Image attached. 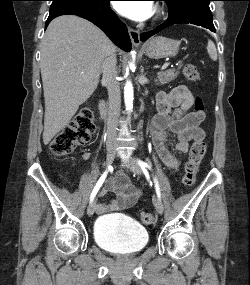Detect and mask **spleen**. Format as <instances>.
Listing matches in <instances>:
<instances>
[{
  "mask_svg": "<svg viewBox=\"0 0 250 285\" xmlns=\"http://www.w3.org/2000/svg\"><path fill=\"white\" fill-rule=\"evenodd\" d=\"M207 52L209 54V57L213 61L217 60V58H218L217 50H216L215 44L211 40H208Z\"/></svg>",
  "mask_w": 250,
  "mask_h": 285,
  "instance_id": "1",
  "label": "spleen"
}]
</instances>
